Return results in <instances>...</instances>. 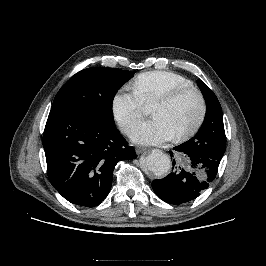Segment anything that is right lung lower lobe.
Segmentation results:
<instances>
[{
    "mask_svg": "<svg viewBox=\"0 0 266 266\" xmlns=\"http://www.w3.org/2000/svg\"><path fill=\"white\" fill-rule=\"evenodd\" d=\"M42 143L50 183L84 207L107 197L119 161L137 157L114 123L68 111H50Z\"/></svg>",
    "mask_w": 266,
    "mask_h": 266,
    "instance_id": "98d812e1",
    "label": "right lung lower lobe"
}]
</instances>
